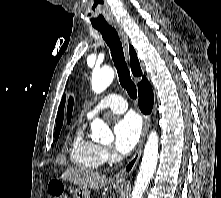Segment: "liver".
Instances as JSON below:
<instances>
[{
  "mask_svg": "<svg viewBox=\"0 0 221 198\" xmlns=\"http://www.w3.org/2000/svg\"><path fill=\"white\" fill-rule=\"evenodd\" d=\"M60 178L87 189H101L108 181L107 177L100 173L74 168L67 169Z\"/></svg>",
  "mask_w": 221,
  "mask_h": 198,
  "instance_id": "6515ba94",
  "label": "liver"
}]
</instances>
